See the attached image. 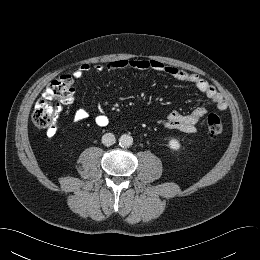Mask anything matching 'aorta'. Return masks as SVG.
Instances as JSON below:
<instances>
[{
	"instance_id": "obj_1",
	"label": "aorta",
	"mask_w": 260,
	"mask_h": 260,
	"mask_svg": "<svg viewBox=\"0 0 260 260\" xmlns=\"http://www.w3.org/2000/svg\"><path fill=\"white\" fill-rule=\"evenodd\" d=\"M132 144H133L132 136H130L128 134H123V135L120 136L119 145L121 147L128 148V147L132 146Z\"/></svg>"
}]
</instances>
